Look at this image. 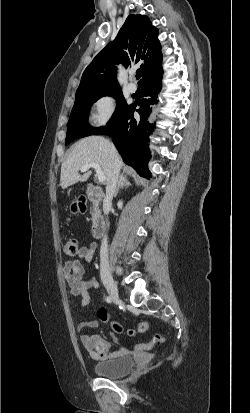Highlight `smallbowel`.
Masks as SVG:
<instances>
[{"instance_id": "1", "label": "small bowel", "mask_w": 250, "mask_h": 413, "mask_svg": "<svg viewBox=\"0 0 250 413\" xmlns=\"http://www.w3.org/2000/svg\"><path fill=\"white\" fill-rule=\"evenodd\" d=\"M96 245L91 242L89 245H84L79 249L78 259H69L65 262L63 273L66 282L69 286V294L71 296L80 297V307L84 308L90 303V289H97L99 283L95 277L86 279L84 275V267L81 260L90 262L93 259ZM99 322L97 320L83 321L78 324L77 331L81 333L80 340L83 347L87 350L90 357L94 360H107L116 358L127 353V349L120 348L114 352H110V344L108 341L101 338L98 334H85L83 331L87 328H97ZM147 330V329H146ZM117 342V338L113 337ZM150 350V349H149Z\"/></svg>"}]
</instances>
